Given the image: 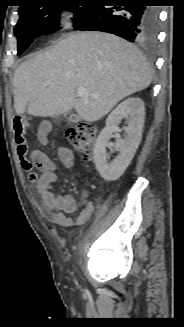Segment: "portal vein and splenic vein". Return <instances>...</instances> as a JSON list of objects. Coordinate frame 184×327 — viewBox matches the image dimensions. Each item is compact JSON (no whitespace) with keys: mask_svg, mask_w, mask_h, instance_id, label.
<instances>
[{"mask_svg":"<svg viewBox=\"0 0 184 327\" xmlns=\"http://www.w3.org/2000/svg\"><path fill=\"white\" fill-rule=\"evenodd\" d=\"M77 95L79 97H86L88 95L94 96V94H90V92L86 88H83V87L77 89Z\"/></svg>","mask_w":184,"mask_h":327,"instance_id":"portal-vein-and-splenic-vein-1","label":"portal vein and splenic vein"}]
</instances>
